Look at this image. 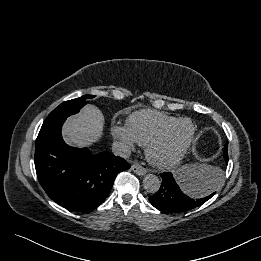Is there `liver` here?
<instances>
[{"instance_id": "obj_1", "label": "liver", "mask_w": 261, "mask_h": 261, "mask_svg": "<svg viewBox=\"0 0 261 261\" xmlns=\"http://www.w3.org/2000/svg\"><path fill=\"white\" fill-rule=\"evenodd\" d=\"M104 116L94 105H86L79 114L67 118L63 126L65 141L75 147L90 146L103 133Z\"/></svg>"}]
</instances>
